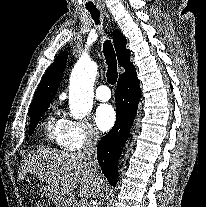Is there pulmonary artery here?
Here are the masks:
<instances>
[{
  "label": "pulmonary artery",
  "instance_id": "obj_1",
  "mask_svg": "<svg viewBox=\"0 0 206 207\" xmlns=\"http://www.w3.org/2000/svg\"><path fill=\"white\" fill-rule=\"evenodd\" d=\"M95 96L100 101H107L111 98V91L106 85H100L96 91Z\"/></svg>",
  "mask_w": 206,
  "mask_h": 207
}]
</instances>
